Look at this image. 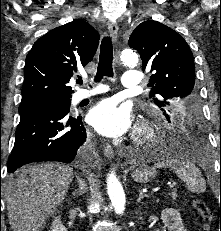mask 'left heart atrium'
<instances>
[{"instance_id": "obj_1", "label": "left heart atrium", "mask_w": 221, "mask_h": 231, "mask_svg": "<svg viewBox=\"0 0 221 231\" xmlns=\"http://www.w3.org/2000/svg\"><path fill=\"white\" fill-rule=\"evenodd\" d=\"M89 123L102 135L118 137L132 125L131 111L113 99H105L94 106L88 115Z\"/></svg>"}]
</instances>
